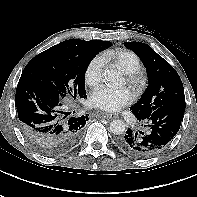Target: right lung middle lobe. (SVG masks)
Instances as JSON below:
<instances>
[{
  "label": "right lung middle lobe",
  "instance_id": "1",
  "mask_svg": "<svg viewBox=\"0 0 197 197\" xmlns=\"http://www.w3.org/2000/svg\"><path fill=\"white\" fill-rule=\"evenodd\" d=\"M111 45L109 41L91 40L77 49H68L57 44L35 56L24 68L21 78L51 86L61 100L76 98V95L86 98L87 66L99 52Z\"/></svg>",
  "mask_w": 197,
  "mask_h": 197
}]
</instances>
